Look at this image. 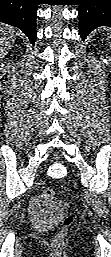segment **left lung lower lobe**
<instances>
[{
	"label": "left lung lower lobe",
	"mask_w": 111,
	"mask_h": 257,
	"mask_svg": "<svg viewBox=\"0 0 111 257\" xmlns=\"http://www.w3.org/2000/svg\"><path fill=\"white\" fill-rule=\"evenodd\" d=\"M79 2V32L83 40L93 29L111 26V0H80Z\"/></svg>",
	"instance_id": "1"
}]
</instances>
